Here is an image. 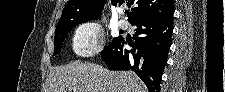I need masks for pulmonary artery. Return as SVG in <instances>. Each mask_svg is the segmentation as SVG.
<instances>
[{"label": "pulmonary artery", "mask_w": 225, "mask_h": 92, "mask_svg": "<svg viewBox=\"0 0 225 92\" xmlns=\"http://www.w3.org/2000/svg\"><path fill=\"white\" fill-rule=\"evenodd\" d=\"M128 26V21L126 19L119 20V27L126 28Z\"/></svg>", "instance_id": "obj_1"}]
</instances>
